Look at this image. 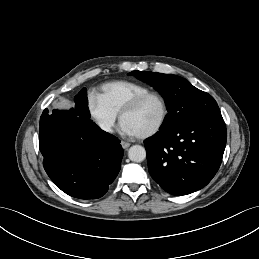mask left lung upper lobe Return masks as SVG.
<instances>
[{"label":"left lung upper lobe","mask_w":259,"mask_h":259,"mask_svg":"<svg viewBox=\"0 0 259 259\" xmlns=\"http://www.w3.org/2000/svg\"><path fill=\"white\" fill-rule=\"evenodd\" d=\"M129 75L152 85L164 97L168 114L160 128L161 131L221 115L211 95L197 89L182 77L138 70L130 72Z\"/></svg>","instance_id":"5c2ea615"}]
</instances>
